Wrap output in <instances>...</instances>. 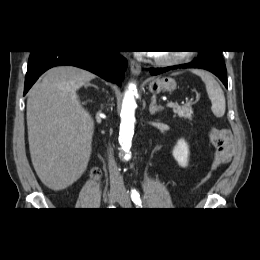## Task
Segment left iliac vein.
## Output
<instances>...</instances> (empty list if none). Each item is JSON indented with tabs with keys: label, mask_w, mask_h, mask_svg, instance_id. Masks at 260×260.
<instances>
[{
	"label": "left iliac vein",
	"mask_w": 260,
	"mask_h": 260,
	"mask_svg": "<svg viewBox=\"0 0 260 260\" xmlns=\"http://www.w3.org/2000/svg\"><path fill=\"white\" fill-rule=\"evenodd\" d=\"M117 201L122 207L128 208L131 206L130 197L127 192H122Z\"/></svg>",
	"instance_id": "4c4485c4"
}]
</instances>
